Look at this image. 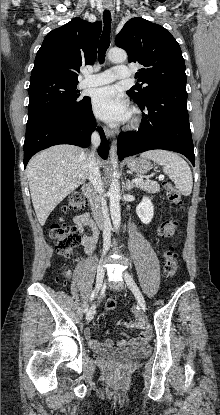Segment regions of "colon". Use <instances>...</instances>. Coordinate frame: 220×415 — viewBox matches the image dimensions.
Masks as SVG:
<instances>
[{"label": "colon", "mask_w": 220, "mask_h": 415, "mask_svg": "<svg viewBox=\"0 0 220 415\" xmlns=\"http://www.w3.org/2000/svg\"><path fill=\"white\" fill-rule=\"evenodd\" d=\"M166 194L171 205L179 208L182 205V198L175 187L169 183H165ZM87 203V196L82 191H76L70 194L68 203L65 206L66 210L77 211L84 208ZM177 229V223L172 218H167L161 222L158 228L159 234L164 238H171L174 236ZM50 235L55 243L56 253L64 258H68L73 254L74 248L78 243L77 230L74 226L64 223H53L50 227ZM163 270L168 278L175 276L178 270L176 254L172 247H166L163 252ZM69 269L64 266L61 269V275L64 279L69 277ZM117 307V298L111 297L105 303L107 311H114ZM143 339L150 337L149 333H142Z\"/></svg>", "instance_id": "colon-1"}]
</instances>
